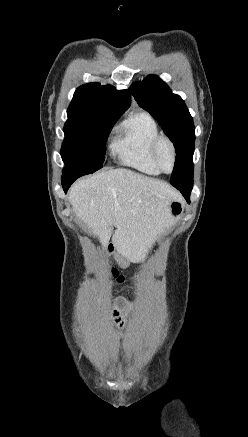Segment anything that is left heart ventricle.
Wrapping results in <instances>:
<instances>
[{"mask_svg":"<svg viewBox=\"0 0 248 437\" xmlns=\"http://www.w3.org/2000/svg\"><path fill=\"white\" fill-rule=\"evenodd\" d=\"M160 162L164 169L170 170L172 165V154L166 144L163 145L160 150Z\"/></svg>","mask_w":248,"mask_h":437,"instance_id":"1","label":"left heart ventricle"}]
</instances>
